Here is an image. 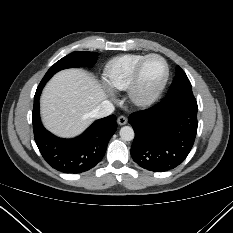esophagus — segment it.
Listing matches in <instances>:
<instances>
[{
	"mask_svg": "<svg viewBox=\"0 0 233 233\" xmlns=\"http://www.w3.org/2000/svg\"><path fill=\"white\" fill-rule=\"evenodd\" d=\"M127 122H128L127 117H125L123 115L119 116L117 119V123L121 126L127 124Z\"/></svg>",
	"mask_w": 233,
	"mask_h": 233,
	"instance_id": "1",
	"label": "esophagus"
}]
</instances>
